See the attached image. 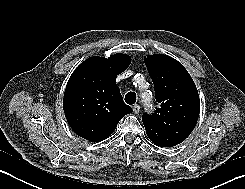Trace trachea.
Segmentation results:
<instances>
[{
	"instance_id": "3493384b",
	"label": "trachea",
	"mask_w": 245,
	"mask_h": 189,
	"mask_svg": "<svg viewBox=\"0 0 245 189\" xmlns=\"http://www.w3.org/2000/svg\"><path fill=\"white\" fill-rule=\"evenodd\" d=\"M136 99H137V96H136V93H134V92H128V93L125 95V102H126L127 104H129V105L135 104Z\"/></svg>"
}]
</instances>
